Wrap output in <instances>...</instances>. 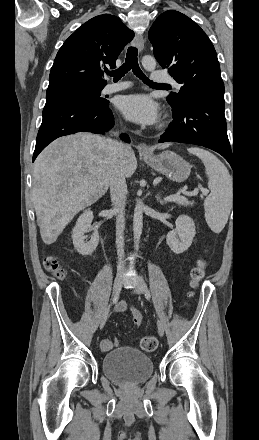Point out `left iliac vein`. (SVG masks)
Segmentation results:
<instances>
[{
  "label": "left iliac vein",
  "mask_w": 259,
  "mask_h": 440,
  "mask_svg": "<svg viewBox=\"0 0 259 440\" xmlns=\"http://www.w3.org/2000/svg\"><path fill=\"white\" fill-rule=\"evenodd\" d=\"M133 290L135 293H137L139 295H142L145 292V288H144L143 284L138 280L135 281ZM157 328H158L159 335L163 336L165 328H164L163 323L160 320L157 321Z\"/></svg>",
  "instance_id": "left-iliac-vein-1"
}]
</instances>
